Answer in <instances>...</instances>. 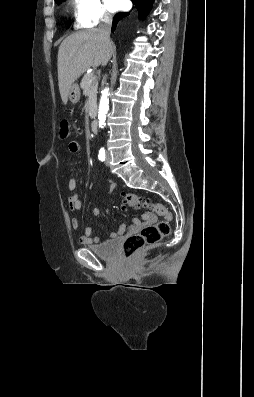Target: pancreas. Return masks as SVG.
<instances>
[{
    "label": "pancreas",
    "instance_id": "1",
    "mask_svg": "<svg viewBox=\"0 0 254 397\" xmlns=\"http://www.w3.org/2000/svg\"><path fill=\"white\" fill-rule=\"evenodd\" d=\"M80 86L84 95L88 98L87 103L89 116L93 118L95 116L98 88V80L94 73L85 74L81 80Z\"/></svg>",
    "mask_w": 254,
    "mask_h": 397
}]
</instances>
